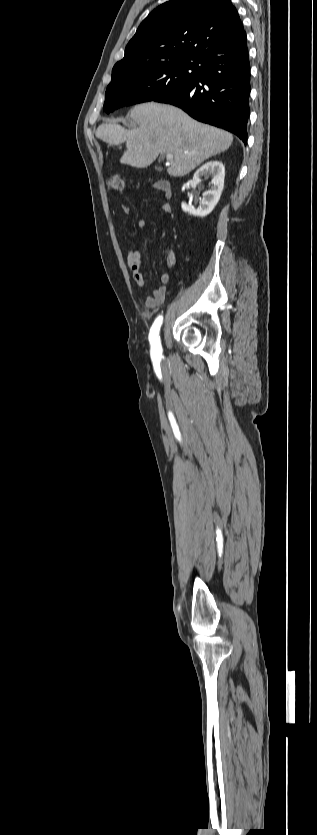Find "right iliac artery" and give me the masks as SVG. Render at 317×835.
I'll use <instances>...</instances> for the list:
<instances>
[{"label":"right iliac artery","instance_id":"right-iliac-artery-1","mask_svg":"<svg viewBox=\"0 0 317 835\" xmlns=\"http://www.w3.org/2000/svg\"><path fill=\"white\" fill-rule=\"evenodd\" d=\"M163 321L162 316H158L154 321L150 333L149 342L151 345V357L153 360H159L162 355V347L160 343L159 331Z\"/></svg>","mask_w":317,"mask_h":835}]
</instances>
